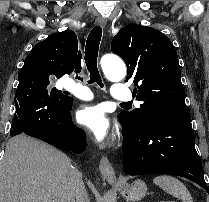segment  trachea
<instances>
[{"label":"trachea","instance_id":"3493384b","mask_svg":"<svg viewBox=\"0 0 209 202\" xmlns=\"http://www.w3.org/2000/svg\"><path fill=\"white\" fill-rule=\"evenodd\" d=\"M101 37L102 28L100 26H95L87 37L85 46V63L90 74V79L88 83H97L101 88H103L104 85L102 83V79L97 67L98 50ZM78 79L83 80L81 77H79Z\"/></svg>","mask_w":209,"mask_h":202}]
</instances>
